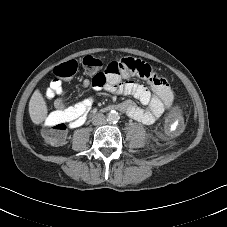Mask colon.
Instances as JSON below:
<instances>
[{
  "label": "colon",
  "instance_id": "obj_1",
  "mask_svg": "<svg viewBox=\"0 0 227 227\" xmlns=\"http://www.w3.org/2000/svg\"><path fill=\"white\" fill-rule=\"evenodd\" d=\"M85 68L92 73L95 85H101L106 81L105 72L112 77H118L124 72L138 73L140 76L147 75L151 68L148 65L133 60L103 61L102 59L86 55L82 59ZM78 70V61L71 59L56 66L53 70V85L60 88L64 77H73ZM61 120L48 125L43 135L50 143L61 142L65 139L66 122L68 114H60Z\"/></svg>",
  "mask_w": 227,
  "mask_h": 227
}]
</instances>
